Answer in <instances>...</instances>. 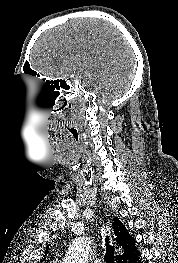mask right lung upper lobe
<instances>
[{"label":"right lung upper lobe","mask_w":178,"mask_h":263,"mask_svg":"<svg viewBox=\"0 0 178 263\" xmlns=\"http://www.w3.org/2000/svg\"><path fill=\"white\" fill-rule=\"evenodd\" d=\"M113 230L116 242L123 248L124 251L123 254L116 256V262L123 263V261H126L137 251V247L135 246L136 241L129 235L126 227L117 217L114 219ZM47 250L48 247L46 248V253Z\"/></svg>","instance_id":"1"}]
</instances>
